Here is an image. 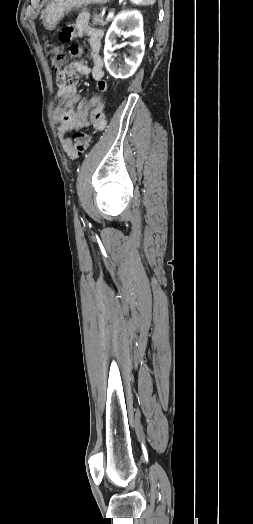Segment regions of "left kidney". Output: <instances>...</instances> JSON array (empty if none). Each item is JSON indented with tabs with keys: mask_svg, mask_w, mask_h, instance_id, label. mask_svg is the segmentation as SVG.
Masks as SVG:
<instances>
[{
	"mask_svg": "<svg viewBox=\"0 0 253 524\" xmlns=\"http://www.w3.org/2000/svg\"><path fill=\"white\" fill-rule=\"evenodd\" d=\"M124 28H126L125 31ZM121 34L124 37H132L133 42L130 43L132 50L130 56L125 58V65L118 67L114 62L112 45L115 43L116 36ZM144 51L143 17L141 13L139 11H125L118 14L105 37L104 62L106 69L114 78H128L139 67Z\"/></svg>",
	"mask_w": 253,
	"mask_h": 524,
	"instance_id": "5707ae66",
	"label": "left kidney"
}]
</instances>
